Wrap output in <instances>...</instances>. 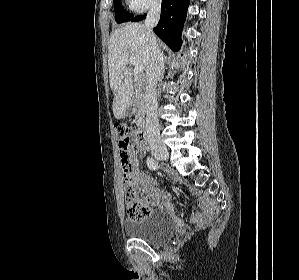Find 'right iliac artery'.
I'll return each instance as SVG.
<instances>
[{
  "label": "right iliac artery",
  "mask_w": 299,
  "mask_h": 280,
  "mask_svg": "<svg viewBox=\"0 0 299 280\" xmlns=\"http://www.w3.org/2000/svg\"><path fill=\"white\" fill-rule=\"evenodd\" d=\"M147 166H148L149 169H151V170H156V169H158V163H157L152 157H148V158H147Z\"/></svg>",
  "instance_id": "82829eb1"
}]
</instances>
